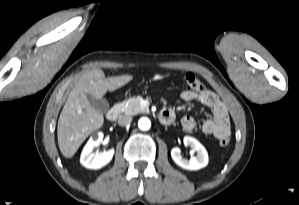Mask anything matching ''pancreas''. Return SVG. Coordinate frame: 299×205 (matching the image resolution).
Here are the masks:
<instances>
[{
    "label": "pancreas",
    "mask_w": 299,
    "mask_h": 205,
    "mask_svg": "<svg viewBox=\"0 0 299 205\" xmlns=\"http://www.w3.org/2000/svg\"><path fill=\"white\" fill-rule=\"evenodd\" d=\"M142 99L143 98L141 96L130 98L125 102L117 104L116 108L126 115H136L139 113H145L147 112V110L140 106Z\"/></svg>",
    "instance_id": "1"
}]
</instances>
